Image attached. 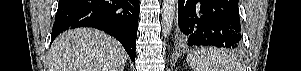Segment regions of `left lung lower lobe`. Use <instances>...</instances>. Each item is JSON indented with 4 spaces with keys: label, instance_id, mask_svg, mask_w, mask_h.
<instances>
[{
    "label": "left lung lower lobe",
    "instance_id": "obj_1",
    "mask_svg": "<svg viewBox=\"0 0 301 71\" xmlns=\"http://www.w3.org/2000/svg\"><path fill=\"white\" fill-rule=\"evenodd\" d=\"M178 25L188 46L241 45L238 0H178Z\"/></svg>",
    "mask_w": 301,
    "mask_h": 71
}]
</instances>
